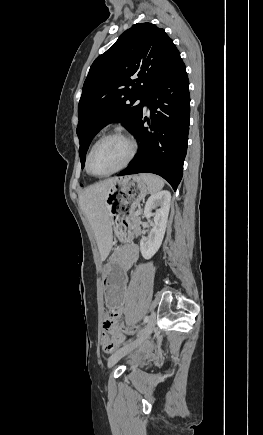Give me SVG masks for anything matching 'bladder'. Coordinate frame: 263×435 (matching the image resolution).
<instances>
[{
  "label": "bladder",
  "instance_id": "1",
  "mask_svg": "<svg viewBox=\"0 0 263 435\" xmlns=\"http://www.w3.org/2000/svg\"><path fill=\"white\" fill-rule=\"evenodd\" d=\"M139 360H134L133 362H138Z\"/></svg>",
  "mask_w": 263,
  "mask_h": 435
}]
</instances>
